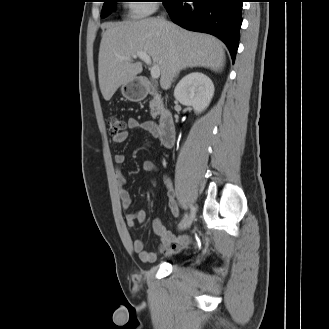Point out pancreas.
<instances>
[{"instance_id": "1", "label": "pancreas", "mask_w": 329, "mask_h": 329, "mask_svg": "<svg viewBox=\"0 0 329 329\" xmlns=\"http://www.w3.org/2000/svg\"><path fill=\"white\" fill-rule=\"evenodd\" d=\"M161 109H162L161 103H159L154 99L150 101V110H151L150 113L153 118H156L159 115Z\"/></svg>"}]
</instances>
